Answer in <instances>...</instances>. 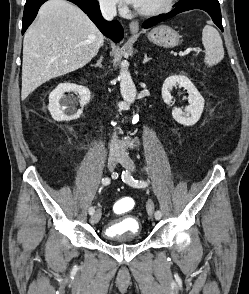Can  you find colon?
I'll list each match as a JSON object with an SVG mask.
<instances>
[{"label": "colon", "instance_id": "5ec220e1", "mask_svg": "<svg viewBox=\"0 0 249 294\" xmlns=\"http://www.w3.org/2000/svg\"><path fill=\"white\" fill-rule=\"evenodd\" d=\"M135 202L132 198L124 197L118 200L113 209L116 214H124L134 208Z\"/></svg>", "mask_w": 249, "mask_h": 294}]
</instances>
